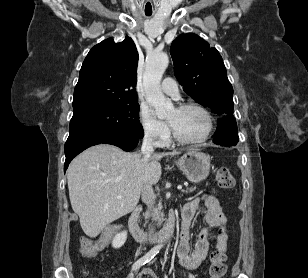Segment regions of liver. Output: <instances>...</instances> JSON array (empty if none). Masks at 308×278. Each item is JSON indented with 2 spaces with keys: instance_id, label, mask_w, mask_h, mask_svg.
Wrapping results in <instances>:
<instances>
[{
  "instance_id": "obj_1",
  "label": "liver",
  "mask_w": 308,
  "mask_h": 278,
  "mask_svg": "<svg viewBox=\"0 0 308 278\" xmlns=\"http://www.w3.org/2000/svg\"><path fill=\"white\" fill-rule=\"evenodd\" d=\"M176 154L179 152L155 153L145 158L99 144L74 158L67 170L69 197L84 233L94 238L109 223L132 212L144 186L159 181V160Z\"/></svg>"
}]
</instances>
